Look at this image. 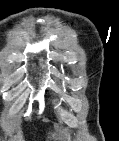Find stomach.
<instances>
[{"mask_svg": "<svg viewBox=\"0 0 119 141\" xmlns=\"http://www.w3.org/2000/svg\"><path fill=\"white\" fill-rule=\"evenodd\" d=\"M64 136H65L64 132H59L58 134L55 135L54 141H63L62 139H64Z\"/></svg>", "mask_w": 119, "mask_h": 141, "instance_id": "stomach-1", "label": "stomach"}]
</instances>
